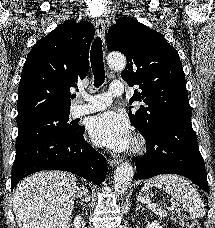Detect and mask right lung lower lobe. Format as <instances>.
Segmentation results:
<instances>
[{
    "instance_id": "obj_1",
    "label": "right lung lower lobe",
    "mask_w": 215,
    "mask_h": 228,
    "mask_svg": "<svg viewBox=\"0 0 215 228\" xmlns=\"http://www.w3.org/2000/svg\"><path fill=\"white\" fill-rule=\"evenodd\" d=\"M84 127L75 136L48 134L16 145L11 190L24 177L42 170H62L99 185L107 173L105 157L83 137Z\"/></svg>"
}]
</instances>
